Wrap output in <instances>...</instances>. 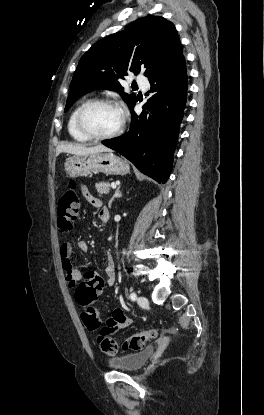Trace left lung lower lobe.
Here are the masks:
<instances>
[{
    "mask_svg": "<svg viewBox=\"0 0 264 415\" xmlns=\"http://www.w3.org/2000/svg\"><path fill=\"white\" fill-rule=\"evenodd\" d=\"M150 97L141 114L129 109L132 122L127 133L102 142L130 160L159 183L169 178L173 154L187 100V70L182 55L162 72L149 78Z\"/></svg>",
    "mask_w": 264,
    "mask_h": 415,
    "instance_id": "0a47b994",
    "label": "left lung lower lobe"
}]
</instances>
